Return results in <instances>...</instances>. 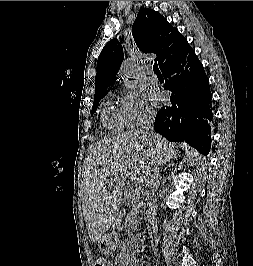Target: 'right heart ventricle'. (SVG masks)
I'll list each match as a JSON object with an SVG mask.
<instances>
[{"label":"right heart ventricle","instance_id":"right-heart-ventricle-1","mask_svg":"<svg viewBox=\"0 0 253 266\" xmlns=\"http://www.w3.org/2000/svg\"><path fill=\"white\" fill-rule=\"evenodd\" d=\"M101 122L105 128L113 132L122 131L129 125L120 107L116 106L112 99L108 100L102 108Z\"/></svg>","mask_w":253,"mask_h":266}]
</instances>
